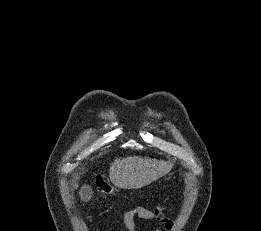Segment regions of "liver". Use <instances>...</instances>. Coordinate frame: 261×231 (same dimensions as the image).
Returning <instances> with one entry per match:
<instances>
[{
    "mask_svg": "<svg viewBox=\"0 0 261 231\" xmlns=\"http://www.w3.org/2000/svg\"><path fill=\"white\" fill-rule=\"evenodd\" d=\"M172 166L167 161L139 156L117 158L110 165L109 177L118 188L138 189L168 174Z\"/></svg>",
    "mask_w": 261,
    "mask_h": 231,
    "instance_id": "1",
    "label": "liver"
}]
</instances>
